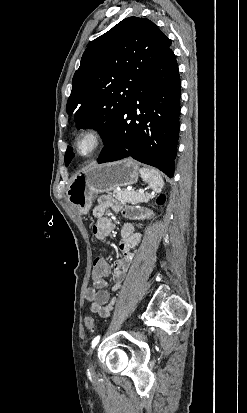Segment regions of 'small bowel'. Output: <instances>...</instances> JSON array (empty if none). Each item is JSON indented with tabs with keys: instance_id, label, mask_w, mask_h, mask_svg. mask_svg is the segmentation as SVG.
<instances>
[{
	"instance_id": "obj_1",
	"label": "small bowel",
	"mask_w": 247,
	"mask_h": 413,
	"mask_svg": "<svg viewBox=\"0 0 247 413\" xmlns=\"http://www.w3.org/2000/svg\"><path fill=\"white\" fill-rule=\"evenodd\" d=\"M108 210L116 215L120 212L121 207L111 196L101 195L92 210L93 217L97 219L93 231L99 238L106 237L113 227L111 220L105 216ZM125 213L128 217L133 219H140L143 217V211L141 209L128 208ZM121 235L122 240L119 248L122 255L111 265L108 263V268L110 269V273H112L114 280L112 287L113 291L120 289L125 279V275L134 260L132 249L142 241V235L134 232V224L131 222L123 227ZM92 280L93 286L86 289L85 299L90 303V311L92 313L98 314L102 318H107L113 310L114 299L111 298L109 292L105 290L107 286L106 277H92Z\"/></svg>"
}]
</instances>
